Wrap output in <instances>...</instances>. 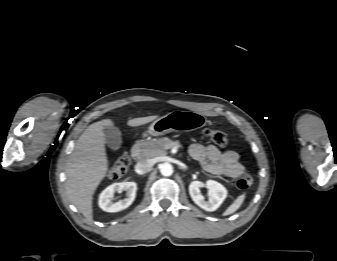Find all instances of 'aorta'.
I'll list each match as a JSON object with an SVG mask.
<instances>
[{"label":"aorta","mask_w":337,"mask_h":261,"mask_svg":"<svg viewBox=\"0 0 337 261\" xmlns=\"http://www.w3.org/2000/svg\"><path fill=\"white\" fill-rule=\"evenodd\" d=\"M160 172L163 176H170L173 173V167L170 163L165 162L160 166Z\"/></svg>","instance_id":"1"}]
</instances>
